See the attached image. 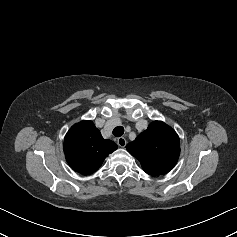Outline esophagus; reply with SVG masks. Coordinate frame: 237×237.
Returning <instances> with one entry per match:
<instances>
[{"mask_svg": "<svg viewBox=\"0 0 237 237\" xmlns=\"http://www.w3.org/2000/svg\"><path fill=\"white\" fill-rule=\"evenodd\" d=\"M117 144H118L120 147L124 148V147L126 146V144H127V141H126V139H125L124 137H119V138L117 139Z\"/></svg>", "mask_w": 237, "mask_h": 237, "instance_id": "esophagus-1", "label": "esophagus"}]
</instances>
